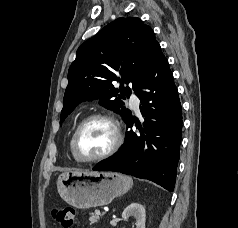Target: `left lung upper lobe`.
Wrapping results in <instances>:
<instances>
[{
  "label": "left lung upper lobe",
  "instance_id": "left-lung-upper-lobe-1",
  "mask_svg": "<svg viewBox=\"0 0 238 228\" xmlns=\"http://www.w3.org/2000/svg\"><path fill=\"white\" fill-rule=\"evenodd\" d=\"M160 47L151 27L139 18H118L84 42L68 71L61 122L86 100L100 99L99 104L120 113L124 121L132 114L124 101L136 89L148 63ZM120 82V88L114 87Z\"/></svg>",
  "mask_w": 238,
  "mask_h": 228
}]
</instances>
